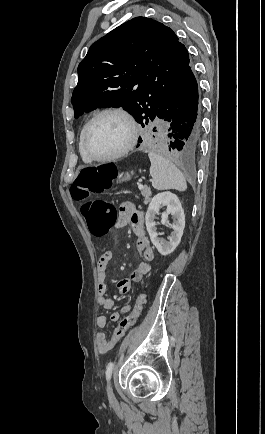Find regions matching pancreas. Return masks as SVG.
Masks as SVG:
<instances>
[{"instance_id": "1", "label": "pancreas", "mask_w": 265, "mask_h": 434, "mask_svg": "<svg viewBox=\"0 0 265 434\" xmlns=\"http://www.w3.org/2000/svg\"><path fill=\"white\" fill-rule=\"evenodd\" d=\"M141 194L145 198L144 204H148V202H150V200H151V198H150V196H151V190H150V188H148V186H143Z\"/></svg>"}]
</instances>
